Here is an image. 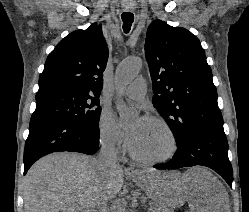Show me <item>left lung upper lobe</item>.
<instances>
[{
  "mask_svg": "<svg viewBox=\"0 0 249 212\" xmlns=\"http://www.w3.org/2000/svg\"><path fill=\"white\" fill-rule=\"evenodd\" d=\"M145 56L153 82V106L177 145L190 129L223 124L212 71L195 35L155 20L147 31Z\"/></svg>",
  "mask_w": 249,
  "mask_h": 212,
  "instance_id": "left-lung-upper-lobe-1",
  "label": "left lung upper lobe"
}]
</instances>
